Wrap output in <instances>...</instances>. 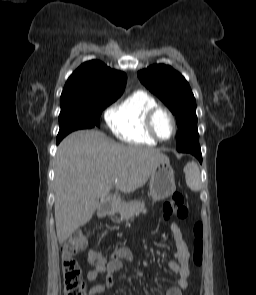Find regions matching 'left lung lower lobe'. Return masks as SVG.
Returning <instances> with one entry per match:
<instances>
[{"instance_id": "1", "label": "left lung lower lobe", "mask_w": 256, "mask_h": 295, "mask_svg": "<svg viewBox=\"0 0 256 295\" xmlns=\"http://www.w3.org/2000/svg\"><path fill=\"white\" fill-rule=\"evenodd\" d=\"M186 152L191 153L192 155H194L200 163H202V154H201V150L200 147H192V148H188L186 150Z\"/></svg>"}]
</instances>
